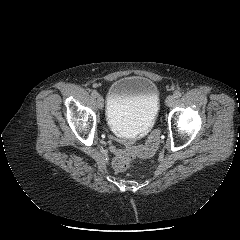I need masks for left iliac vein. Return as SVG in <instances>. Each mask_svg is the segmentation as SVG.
I'll return each mask as SVG.
<instances>
[{
    "label": "left iliac vein",
    "mask_w": 240,
    "mask_h": 240,
    "mask_svg": "<svg viewBox=\"0 0 240 240\" xmlns=\"http://www.w3.org/2000/svg\"><path fill=\"white\" fill-rule=\"evenodd\" d=\"M175 100H176V97L174 95H169L167 98H166V105L168 107H172L175 103Z\"/></svg>",
    "instance_id": "obj_1"
}]
</instances>
